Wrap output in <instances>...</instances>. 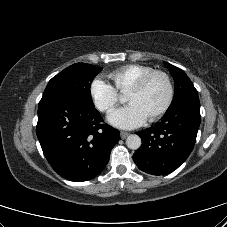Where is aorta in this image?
I'll list each match as a JSON object with an SVG mask.
<instances>
[{
	"label": "aorta",
	"instance_id": "aorta-1",
	"mask_svg": "<svg viewBox=\"0 0 227 227\" xmlns=\"http://www.w3.org/2000/svg\"><path fill=\"white\" fill-rule=\"evenodd\" d=\"M126 145L129 149L137 150L141 146V138L136 134H131L126 139Z\"/></svg>",
	"mask_w": 227,
	"mask_h": 227
}]
</instances>
